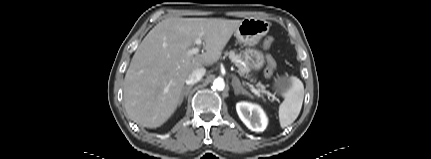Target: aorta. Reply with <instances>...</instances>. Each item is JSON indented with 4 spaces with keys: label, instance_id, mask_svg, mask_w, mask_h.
<instances>
[{
    "label": "aorta",
    "instance_id": "obj_1",
    "mask_svg": "<svg viewBox=\"0 0 431 159\" xmlns=\"http://www.w3.org/2000/svg\"><path fill=\"white\" fill-rule=\"evenodd\" d=\"M213 87L214 89L218 90V91H222L225 88V82L223 79L221 78H217L214 80L213 82Z\"/></svg>",
    "mask_w": 431,
    "mask_h": 159
}]
</instances>
